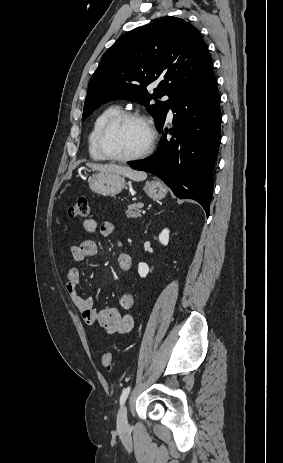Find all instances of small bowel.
<instances>
[{"label":"small bowel","instance_id":"1","mask_svg":"<svg viewBox=\"0 0 283 463\" xmlns=\"http://www.w3.org/2000/svg\"><path fill=\"white\" fill-rule=\"evenodd\" d=\"M84 230L90 234H95L99 230L102 235L109 236L115 233L116 225L106 221L99 228L94 219H89L84 222ZM117 245L121 247L122 242L118 240ZM70 253L75 261L83 262L96 255L97 245L92 240H85L79 245L72 246ZM117 260L121 270H129L131 258L127 253H119ZM79 284L80 271L76 267H71L67 272L66 291L87 325L104 328L109 334L128 333L132 330L134 321L129 311L135 302L133 294L124 293L120 297L118 308L110 307L97 310L94 308L91 298L80 292Z\"/></svg>","mask_w":283,"mask_h":463}]
</instances>
